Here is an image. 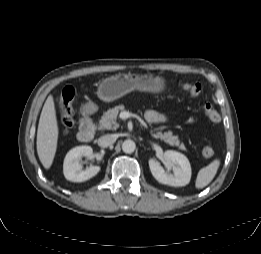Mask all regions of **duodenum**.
Returning <instances> with one entry per match:
<instances>
[{
    "mask_svg": "<svg viewBox=\"0 0 261 254\" xmlns=\"http://www.w3.org/2000/svg\"><path fill=\"white\" fill-rule=\"evenodd\" d=\"M79 133L78 139L83 143H88L92 141L95 137V127L91 122L90 115L85 112L79 120Z\"/></svg>",
    "mask_w": 261,
    "mask_h": 254,
    "instance_id": "410a0bca",
    "label": "duodenum"
}]
</instances>
